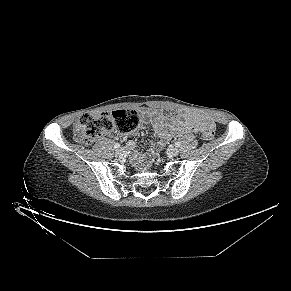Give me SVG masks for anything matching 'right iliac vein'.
Wrapping results in <instances>:
<instances>
[{
	"label": "right iliac vein",
	"mask_w": 291,
	"mask_h": 291,
	"mask_svg": "<svg viewBox=\"0 0 291 291\" xmlns=\"http://www.w3.org/2000/svg\"><path fill=\"white\" fill-rule=\"evenodd\" d=\"M124 153H125V151H124L123 148L116 149V151H115V154H116L117 156H123Z\"/></svg>",
	"instance_id": "obj_1"
}]
</instances>
